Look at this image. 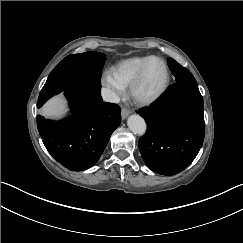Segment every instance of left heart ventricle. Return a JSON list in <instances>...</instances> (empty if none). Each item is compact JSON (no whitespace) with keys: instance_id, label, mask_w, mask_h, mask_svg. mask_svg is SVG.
I'll list each match as a JSON object with an SVG mask.
<instances>
[{"instance_id":"b2bd125f","label":"left heart ventricle","mask_w":243,"mask_h":243,"mask_svg":"<svg viewBox=\"0 0 243 243\" xmlns=\"http://www.w3.org/2000/svg\"><path fill=\"white\" fill-rule=\"evenodd\" d=\"M166 70L161 62L155 61L151 64L147 75L138 90L141 97H150L156 94L165 84Z\"/></svg>"}]
</instances>
